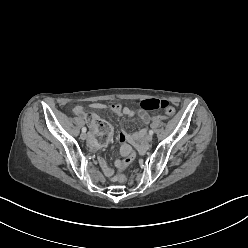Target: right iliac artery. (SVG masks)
<instances>
[{"mask_svg": "<svg viewBox=\"0 0 248 248\" xmlns=\"http://www.w3.org/2000/svg\"><path fill=\"white\" fill-rule=\"evenodd\" d=\"M87 131L86 127L82 128V132L85 133Z\"/></svg>", "mask_w": 248, "mask_h": 248, "instance_id": "1", "label": "right iliac artery"}]
</instances>
